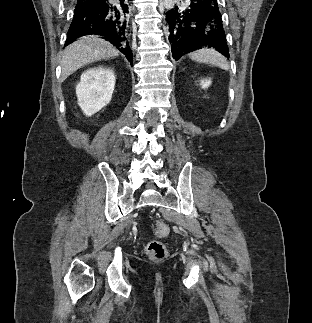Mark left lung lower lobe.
<instances>
[{"instance_id": "left-lung-lower-lobe-1", "label": "left lung lower lobe", "mask_w": 312, "mask_h": 323, "mask_svg": "<svg viewBox=\"0 0 312 323\" xmlns=\"http://www.w3.org/2000/svg\"><path fill=\"white\" fill-rule=\"evenodd\" d=\"M189 1L186 8L175 7L166 13L174 59L202 47H213L229 57L218 0Z\"/></svg>"}]
</instances>
